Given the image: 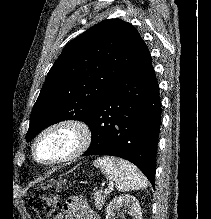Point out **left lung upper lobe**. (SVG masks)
I'll return each instance as SVG.
<instances>
[{"instance_id":"1","label":"left lung upper lobe","mask_w":211,"mask_h":219,"mask_svg":"<svg viewBox=\"0 0 211 219\" xmlns=\"http://www.w3.org/2000/svg\"><path fill=\"white\" fill-rule=\"evenodd\" d=\"M144 47L136 29L119 19L104 20L73 39L46 77L26 141L60 121L87 124L99 101Z\"/></svg>"}]
</instances>
